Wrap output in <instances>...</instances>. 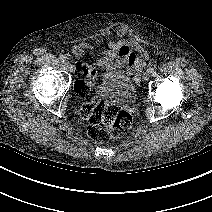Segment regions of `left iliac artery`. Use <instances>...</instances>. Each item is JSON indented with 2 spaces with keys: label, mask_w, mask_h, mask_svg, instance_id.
Returning <instances> with one entry per match:
<instances>
[{
  "label": "left iliac artery",
  "mask_w": 212,
  "mask_h": 212,
  "mask_svg": "<svg viewBox=\"0 0 212 212\" xmlns=\"http://www.w3.org/2000/svg\"><path fill=\"white\" fill-rule=\"evenodd\" d=\"M155 70H156V66H155V65L151 66V67L148 69V71H149L152 75H155V74H156Z\"/></svg>",
  "instance_id": "44dca946"
}]
</instances>
